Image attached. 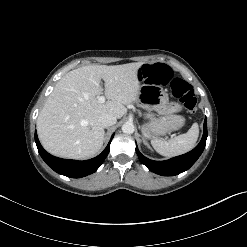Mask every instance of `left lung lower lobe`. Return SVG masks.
<instances>
[{
    "instance_id": "left-lung-lower-lobe-1",
    "label": "left lung lower lobe",
    "mask_w": 247,
    "mask_h": 247,
    "mask_svg": "<svg viewBox=\"0 0 247 247\" xmlns=\"http://www.w3.org/2000/svg\"><path fill=\"white\" fill-rule=\"evenodd\" d=\"M207 139V121H204V132L200 143L190 152L165 161H154L143 156L138 148L136 152L141 162L152 172L162 176H174L188 170L202 154Z\"/></svg>"
}]
</instances>
